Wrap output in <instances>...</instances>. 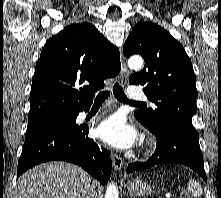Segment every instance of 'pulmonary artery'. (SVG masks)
I'll return each mask as SVG.
<instances>
[{
    "mask_svg": "<svg viewBox=\"0 0 221 198\" xmlns=\"http://www.w3.org/2000/svg\"><path fill=\"white\" fill-rule=\"evenodd\" d=\"M128 96L131 99H135V100H145L146 99V95L144 94V92L136 87H130L128 89Z\"/></svg>",
    "mask_w": 221,
    "mask_h": 198,
    "instance_id": "pulmonary-artery-1",
    "label": "pulmonary artery"
}]
</instances>
